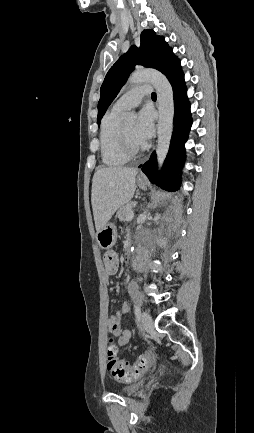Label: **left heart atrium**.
Returning <instances> with one entry per match:
<instances>
[{
	"instance_id": "1",
	"label": "left heart atrium",
	"mask_w": 254,
	"mask_h": 433,
	"mask_svg": "<svg viewBox=\"0 0 254 433\" xmlns=\"http://www.w3.org/2000/svg\"><path fill=\"white\" fill-rule=\"evenodd\" d=\"M134 133L142 145L152 137L154 133V114L149 108H144L138 113Z\"/></svg>"
}]
</instances>
